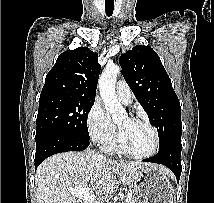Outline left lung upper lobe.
<instances>
[{
  "label": "left lung upper lobe",
  "instance_id": "obj_1",
  "mask_svg": "<svg viewBox=\"0 0 214 203\" xmlns=\"http://www.w3.org/2000/svg\"><path fill=\"white\" fill-rule=\"evenodd\" d=\"M120 65L150 123L157 127L159 148L181 139L180 102L157 53L150 46L136 45L121 55Z\"/></svg>",
  "mask_w": 214,
  "mask_h": 203
}]
</instances>
